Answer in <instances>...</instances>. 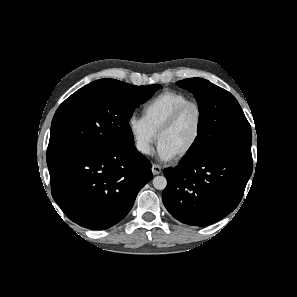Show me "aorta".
<instances>
[{"label":"aorta","instance_id":"1","mask_svg":"<svg viewBox=\"0 0 297 297\" xmlns=\"http://www.w3.org/2000/svg\"><path fill=\"white\" fill-rule=\"evenodd\" d=\"M167 180L164 176H156L153 178V186L157 190H163L166 188Z\"/></svg>","mask_w":297,"mask_h":297}]
</instances>
